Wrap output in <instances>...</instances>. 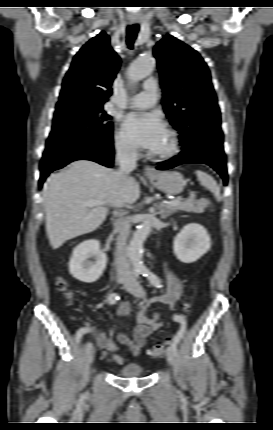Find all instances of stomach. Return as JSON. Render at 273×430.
Returning <instances> with one entry per match:
<instances>
[{
    "mask_svg": "<svg viewBox=\"0 0 273 430\" xmlns=\"http://www.w3.org/2000/svg\"><path fill=\"white\" fill-rule=\"evenodd\" d=\"M148 178L154 187L171 195L181 193L186 184L183 176L177 171H159Z\"/></svg>",
    "mask_w": 273,
    "mask_h": 430,
    "instance_id": "0dacf381",
    "label": "stomach"
}]
</instances>
